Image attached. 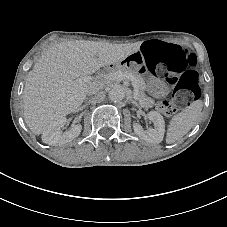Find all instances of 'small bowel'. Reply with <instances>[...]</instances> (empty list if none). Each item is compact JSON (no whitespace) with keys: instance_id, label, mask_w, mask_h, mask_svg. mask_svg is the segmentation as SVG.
<instances>
[{"instance_id":"1","label":"small bowel","mask_w":227,"mask_h":227,"mask_svg":"<svg viewBox=\"0 0 227 227\" xmlns=\"http://www.w3.org/2000/svg\"><path fill=\"white\" fill-rule=\"evenodd\" d=\"M137 56V62L140 66V68L145 71L146 70V66H145V60L143 55L141 54L140 50L136 53Z\"/></svg>"}]
</instances>
